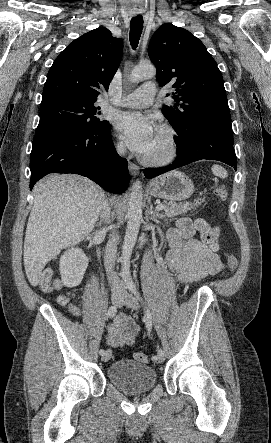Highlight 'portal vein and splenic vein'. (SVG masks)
Masks as SVG:
<instances>
[{"label":"portal vein and splenic vein","instance_id":"obj_1","mask_svg":"<svg viewBox=\"0 0 271 443\" xmlns=\"http://www.w3.org/2000/svg\"><path fill=\"white\" fill-rule=\"evenodd\" d=\"M164 208H165L164 204H159V206H156L157 212H159V210H164Z\"/></svg>","mask_w":271,"mask_h":443}]
</instances>
